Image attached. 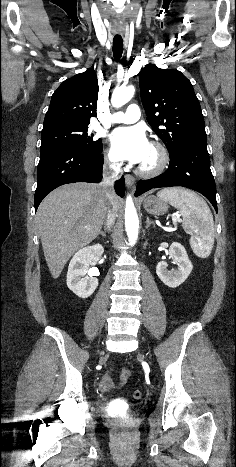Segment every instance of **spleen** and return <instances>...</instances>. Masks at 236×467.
I'll return each instance as SVG.
<instances>
[{"instance_id":"1","label":"spleen","mask_w":236,"mask_h":467,"mask_svg":"<svg viewBox=\"0 0 236 467\" xmlns=\"http://www.w3.org/2000/svg\"><path fill=\"white\" fill-rule=\"evenodd\" d=\"M157 196L179 210L183 229L191 235L193 252L200 258H207L214 245L215 228L206 202L195 192L179 187L160 190Z\"/></svg>"}]
</instances>
